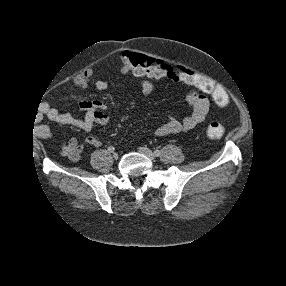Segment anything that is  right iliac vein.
<instances>
[{"label": "right iliac vein", "mask_w": 286, "mask_h": 286, "mask_svg": "<svg viewBox=\"0 0 286 286\" xmlns=\"http://www.w3.org/2000/svg\"><path fill=\"white\" fill-rule=\"evenodd\" d=\"M118 157H119L118 153H117V152H114V153H113V158H114V159H117Z\"/></svg>", "instance_id": "obj_1"}]
</instances>
